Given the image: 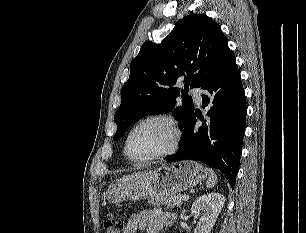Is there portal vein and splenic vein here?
<instances>
[{
	"mask_svg": "<svg viewBox=\"0 0 306 233\" xmlns=\"http://www.w3.org/2000/svg\"><path fill=\"white\" fill-rule=\"evenodd\" d=\"M189 198H190L189 195H184V196L182 197V200H185V201H186V200H189Z\"/></svg>",
	"mask_w": 306,
	"mask_h": 233,
	"instance_id": "1",
	"label": "portal vein and splenic vein"
}]
</instances>
